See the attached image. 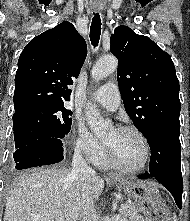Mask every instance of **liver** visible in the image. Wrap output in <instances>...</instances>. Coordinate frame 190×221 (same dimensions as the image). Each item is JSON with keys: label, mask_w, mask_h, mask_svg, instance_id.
<instances>
[{"label": "liver", "mask_w": 190, "mask_h": 221, "mask_svg": "<svg viewBox=\"0 0 190 221\" xmlns=\"http://www.w3.org/2000/svg\"><path fill=\"white\" fill-rule=\"evenodd\" d=\"M104 186L95 173L83 188L67 169L27 171L9 189L3 221H78L86 198L97 200Z\"/></svg>", "instance_id": "obj_1"}]
</instances>
